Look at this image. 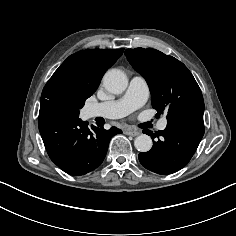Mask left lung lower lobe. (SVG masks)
Wrapping results in <instances>:
<instances>
[{"mask_svg": "<svg viewBox=\"0 0 236 236\" xmlns=\"http://www.w3.org/2000/svg\"><path fill=\"white\" fill-rule=\"evenodd\" d=\"M143 132L151 136L153 147L139 154L140 163L155 173L172 174L182 169L195 153L204 135L203 116L185 115L168 120L163 131Z\"/></svg>", "mask_w": 236, "mask_h": 236, "instance_id": "0a47b994", "label": "left lung lower lobe"}]
</instances>
